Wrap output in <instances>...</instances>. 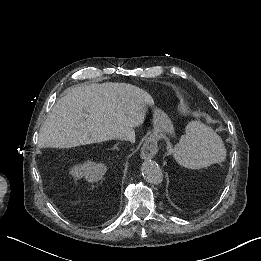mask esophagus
Returning <instances> with one entry per match:
<instances>
[{"label":"esophagus","mask_w":261,"mask_h":261,"mask_svg":"<svg viewBox=\"0 0 261 261\" xmlns=\"http://www.w3.org/2000/svg\"><path fill=\"white\" fill-rule=\"evenodd\" d=\"M158 150L157 139L155 137H149L141 148L140 156L144 160L152 159L157 154Z\"/></svg>","instance_id":"esophagus-1"}]
</instances>
